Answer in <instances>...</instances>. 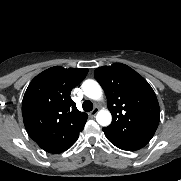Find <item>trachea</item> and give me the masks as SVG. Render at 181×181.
Instances as JSON below:
<instances>
[{"label": "trachea", "instance_id": "obj_1", "mask_svg": "<svg viewBox=\"0 0 181 181\" xmlns=\"http://www.w3.org/2000/svg\"><path fill=\"white\" fill-rule=\"evenodd\" d=\"M82 107H83L84 111L88 112V111H91L93 109V104L91 101L86 100L83 102Z\"/></svg>", "mask_w": 181, "mask_h": 181}]
</instances>
